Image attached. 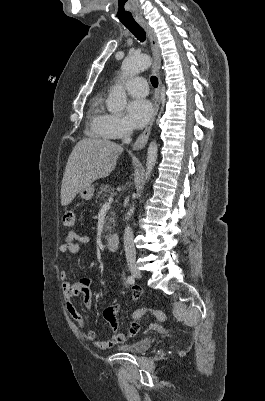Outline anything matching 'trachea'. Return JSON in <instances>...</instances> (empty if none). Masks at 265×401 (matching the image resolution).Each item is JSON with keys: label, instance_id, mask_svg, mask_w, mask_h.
<instances>
[{"label": "trachea", "instance_id": "3493384b", "mask_svg": "<svg viewBox=\"0 0 265 401\" xmlns=\"http://www.w3.org/2000/svg\"><path fill=\"white\" fill-rule=\"evenodd\" d=\"M125 27L130 30L131 33L140 41L144 42L146 40V34L143 30V28L138 25L137 22H131V23H124ZM151 83L152 86L157 88L158 87V78L155 76L151 77Z\"/></svg>", "mask_w": 265, "mask_h": 401}]
</instances>
